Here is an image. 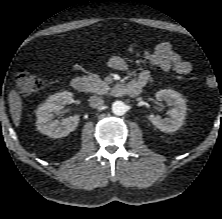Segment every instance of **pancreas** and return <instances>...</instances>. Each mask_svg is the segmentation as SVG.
<instances>
[{"instance_id":"pancreas-1","label":"pancreas","mask_w":222,"mask_h":219,"mask_svg":"<svg viewBox=\"0 0 222 219\" xmlns=\"http://www.w3.org/2000/svg\"><path fill=\"white\" fill-rule=\"evenodd\" d=\"M87 91L96 94H106L110 87L98 75L90 74L86 77Z\"/></svg>"}]
</instances>
